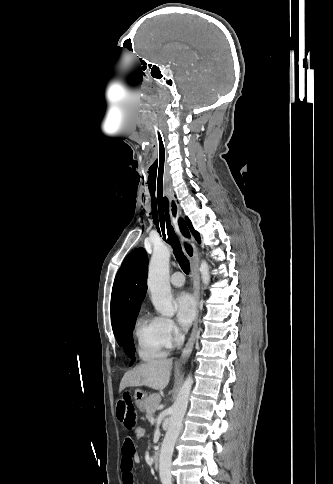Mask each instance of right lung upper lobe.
Returning <instances> with one entry per match:
<instances>
[{
  "mask_svg": "<svg viewBox=\"0 0 333 484\" xmlns=\"http://www.w3.org/2000/svg\"><path fill=\"white\" fill-rule=\"evenodd\" d=\"M183 234L189 237L183 219L179 220ZM148 257L144 248L132 251L117 272L111 296L113 330L130 314L138 312L145 298Z\"/></svg>",
  "mask_w": 333,
  "mask_h": 484,
  "instance_id": "cb5924a9",
  "label": "right lung upper lobe"
}]
</instances>
